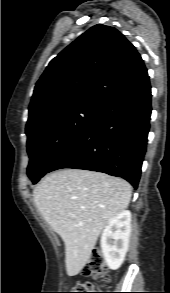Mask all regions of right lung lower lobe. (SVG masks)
Instances as JSON below:
<instances>
[{
    "mask_svg": "<svg viewBox=\"0 0 170 293\" xmlns=\"http://www.w3.org/2000/svg\"><path fill=\"white\" fill-rule=\"evenodd\" d=\"M147 75L106 100L86 131L51 165L48 172L74 168L122 177L137 188L151 116Z\"/></svg>",
    "mask_w": 170,
    "mask_h": 293,
    "instance_id": "obj_1",
    "label": "right lung lower lobe"
}]
</instances>
